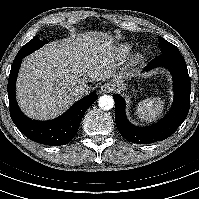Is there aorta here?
<instances>
[{"instance_id":"obj_1","label":"aorta","mask_w":199,"mask_h":199,"mask_svg":"<svg viewBox=\"0 0 199 199\" xmlns=\"http://www.w3.org/2000/svg\"><path fill=\"white\" fill-rule=\"evenodd\" d=\"M98 103L102 110H110L114 106V99L110 95H103L99 98Z\"/></svg>"}]
</instances>
